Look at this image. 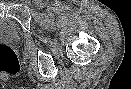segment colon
<instances>
[{"mask_svg": "<svg viewBox=\"0 0 131 89\" xmlns=\"http://www.w3.org/2000/svg\"><path fill=\"white\" fill-rule=\"evenodd\" d=\"M18 71L19 62L14 50L0 45V73L16 74Z\"/></svg>", "mask_w": 131, "mask_h": 89, "instance_id": "obj_1", "label": "colon"}]
</instances>
